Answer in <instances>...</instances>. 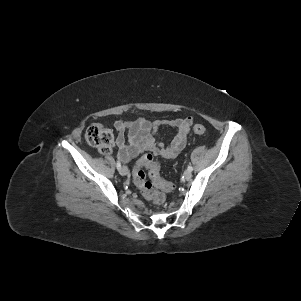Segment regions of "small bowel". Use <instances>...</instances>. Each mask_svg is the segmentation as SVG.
<instances>
[{"label": "small bowel", "mask_w": 301, "mask_h": 301, "mask_svg": "<svg viewBox=\"0 0 301 301\" xmlns=\"http://www.w3.org/2000/svg\"><path fill=\"white\" fill-rule=\"evenodd\" d=\"M192 124V117L154 122L144 118L133 122L117 120L114 122V128L117 131L118 158L127 163L148 152L164 159H172L185 147ZM163 126L176 129V135L167 145L156 138L158 130Z\"/></svg>", "instance_id": "obj_1"}]
</instances>
